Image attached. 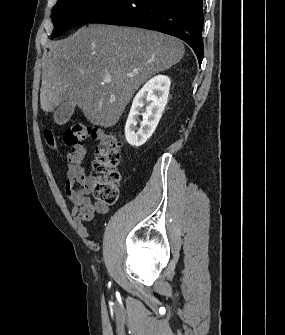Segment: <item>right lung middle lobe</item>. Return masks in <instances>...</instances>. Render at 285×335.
Returning a JSON list of instances; mask_svg holds the SVG:
<instances>
[{
    "instance_id": "1",
    "label": "right lung middle lobe",
    "mask_w": 285,
    "mask_h": 335,
    "mask_svg": "<svg viewBox=\"0 0 285 335\" xmlns=\"http://www.w3.org/2000/svg\"><path fill=\"white\" fill-rule=\"evenodd\" d=\"M119 0H58L52 9L54 29L52 38L68 29L88 22Z\"/></svg>"
}]
</instances>
